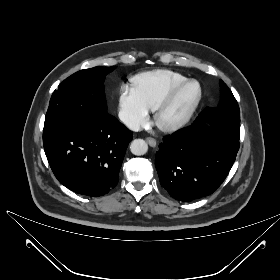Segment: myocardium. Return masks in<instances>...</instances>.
<instances>
[{"instance_id": "obj_1", "label": "myocardium", "mask_w": 280, "mask_h": 280, "mask_svg": "<svg viewBox=\"0 0 280 280\" xmlns=\"http://www.w3.org/2000/svg\"><path fill=\"white\" fill-rule=\"evenodd\" d=\"M192 84H195L197 86L198 92L191 105L180 117L176 118L175 120L167 123L162 122V114L171 106L178 94L187 86ZM202 94V86L200 82L195 79H187L186 81L173 86L153 109V119L156 126L163 132H173L182 128L190 121V119L196 112L202 99Z\"/></svg>"}]
</instances>
